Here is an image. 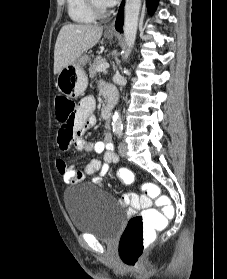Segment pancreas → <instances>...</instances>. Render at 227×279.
Returning <instances> with one entry per match:
<instances>
[{"label": "pancreas", "instance_id": "obj_1", "mask_svg": "<svg viewBox=\"0 0 227 279\" xmlns=\"http://www.w3.org/2000/svg\"><path fill=\"white\" fill-rule=\"evenodd\" d=\"M104 63H106L105 59H101V58L95 59L89 68L90 77H94V75H96V73L98 72V68Z\"/></svg>", "mask_w": 227, "mask_h": 279}]
</instances>
